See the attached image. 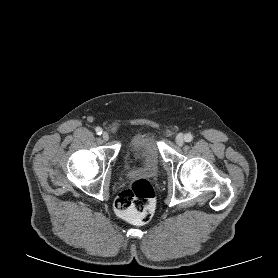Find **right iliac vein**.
I'll use <instances>...</instances> for the list:
<instances>
[{
	"label": "right iliac vein",
	"instance_id": "obj_1",
	"mask_svg": "<svg viewBox=\"0 0 278 278\" xmlns=\"http://www.w3.org/2000/svg\"><path fill=\"white\" fill-rule=\"evenodd\" d=\"M102 138H103L104 141H108L110 137H109V134L107 132H103Z\"/></svg>",
	"mask_w": 278,
	"mask_h": 278
}]
</instances>
